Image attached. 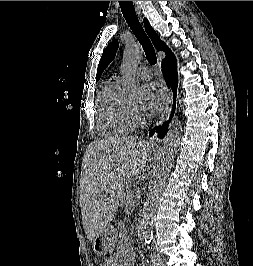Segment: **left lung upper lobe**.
Returning <instances> with one entry per match:
<instances>
[{"label":"left lung upper lobe","instance_id":"obj_1","mask_svg":"<svg viewBox=\"0 0 253 266\" xmlns=\"http://www.w3.org/2000/svg\"><path fill=\"white\" fill-rule=\"evenodd\" d=\"M117 49H118V41L114 40L103 51V54H102V57L99 61V65H98V69H97L96 81H98L100 79L104 69L109 65V63L115 57Z\"/></svg>","mask_w":253,"mask_h":266}]
</instances>
